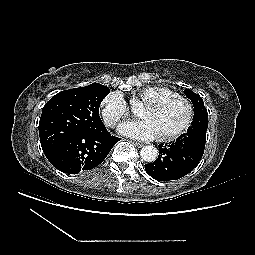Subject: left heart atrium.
<instances>
[{
	"instance_id": "left-heart-atrium-1",
	"label": "left heart atrium",
	"mask_w": 255,
	"mask_h": 255,
	"mask_svg": "<svg viewBox=\"0 0 255 255\" xmlns=\"http://www.w3.org/2000/svg\"><path fill=\"white\" fill-rule=\"evenodd\" d=\"M119 131L126 136L143 141H150L160 137L159 128L152 119L123 123L119 127Z\"/></svg>"
}]
</instances>
